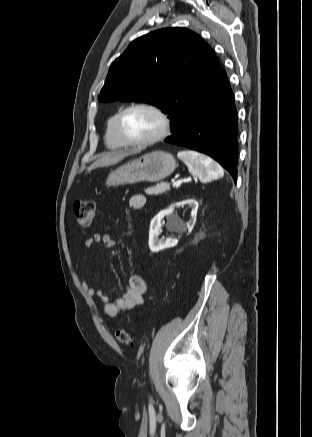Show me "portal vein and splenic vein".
Here are the masks:
<instances>
[{
	"instance_id": "portal-vein-and-splenic-vein-1",
	"label": "portal vein and splenic vein",
	"mask_w": 312,
	"mask_h": 437,
	"mask_svg": "<svg viewBox=\"0 0 312 437\" xmlns=\"http://www.w3.org/2000/svg\"><path fill=\"white\" fill-rule=\"evenodd\" d=\"M181 183H182V181H180V180H178V181H174V182H173V187H178V186L181 185Z\"/></svg>"
}]
</instances>
